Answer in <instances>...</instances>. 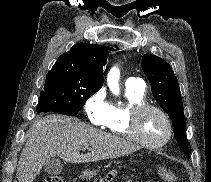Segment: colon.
<instances>
[{
	"mask_svg": "<svg viewBox=\"0 0 211 182\" xmlns=\"http://www.w3.org/2000/svg\"><path fill=\"white\" fill-rule=\"evenodd\" d=\"M116 175H117V172L112 170L108 172L105 176L101 177L97 182H112L115 179ZM159 175L166 182H174L175 180V175L169 170L164 169V168L159 169ZM44 182H63V181L61 177H59L58 175L49 174L45 177Z\"/></svg>",
	"mask_w": 211,
	"mask_h": 182,
	"instance_id": "5ec220e1",
	"label": "colon"
}]
</instances>
